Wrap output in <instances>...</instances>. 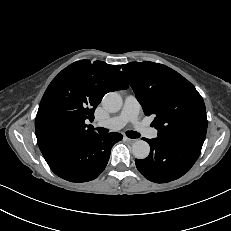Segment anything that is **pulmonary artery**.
Here are the masks:
<instances>
[{
	"mask_svg": "<svg viewBox=\"0 0 231 231\" xmlns=\"http://www.w3.org/2000/svg\"><path fill=\"white\" fill-rule=\"evenodd\" d=\"M140 109L141 107L136 97L134 95H128L125 97L120 113L109 118L106 122L98 123V125L116 130L122 128L126 123L131 122L147 138H156L158 136L157 129L139 122Z\"/></svg>",
	"mask_w": 231,
	"mask_h": 231,
	"instance_id": "obj_1",
	"label": "pulmonary artery"
}]
</instances>
